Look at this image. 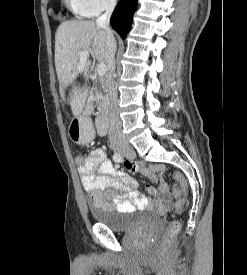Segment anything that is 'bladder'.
Instances as JSON below:
<instances>
[{
  "instance_id": "obj_1",
  "label": "bladder",
  "mask_w": 247,
  "mask_h": 275,
  "mask_svg": "<svg viewBox=\"0 0 247 275\" xmlns=\"http://www.w3.org/2000/svg\"><path fill=\"white\" fill-rule=\"evenodd\" d=\"M89 211L96 223L118 232L129 231L136 225L154 226L160 221L159 214L148 211L119 212L99 208L93 204L89 205ZM135 215L139 217L134 218Z\"/></svg>"
}]
</instances>
